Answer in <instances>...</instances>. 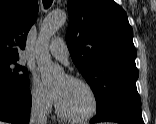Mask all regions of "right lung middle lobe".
<instances>
[{"label":"right lung middle lobe","mask_w":156,"mask_h":124,"mask_svg":"<svg viewBox=\"0 0 156 124\" xmlns=\"http://www.w3.org/2000/svg\"><path fill=\"white\" fill-rule=\"evenodd\" d=\"M29 75L27 69L16 61H0V84L7 87L27 89Z\"/></svg>","instance_id":"obj_1"}]
</instances>
